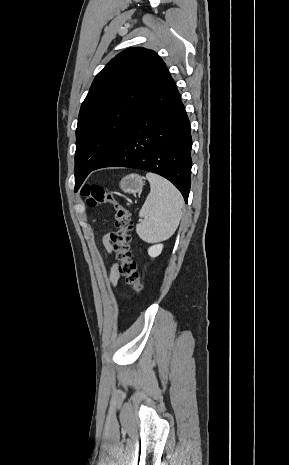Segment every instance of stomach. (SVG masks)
<instances>
[{
  "label": "stomach",
  "instance_id": "obj_1",
  "mask_svg": "<svg viewBox=\"0 0 289 465\" xmlns=\"http://www.w3.org/2000/svg\"><path fill=\"white\" fill-rule=\"evenodd\" d=\"M143 185V178L137 174L127 175L120 181V188L125 193H138L142 190Z\"/></svg>",
  "mask_w": 289,
  "mask_h": 465
}]
</instances>
